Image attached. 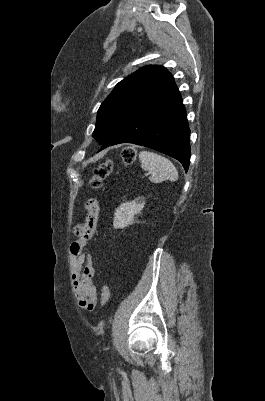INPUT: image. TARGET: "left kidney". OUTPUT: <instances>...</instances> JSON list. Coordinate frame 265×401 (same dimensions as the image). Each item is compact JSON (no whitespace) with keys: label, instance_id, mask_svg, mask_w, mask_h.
I'll use <instances>...</instances> for the list:
<instances>
[{"label":"left kidney","instance_id":"obj_1","mask_svg":"<svg viewBox=\"0 0 265 401\" xmlns=\"http://www.w3.org/2000/svg\"><path fill=\"white\" fill-rule=\"evenodd\" d=\"M145 198L143 196H137L131 203H122L115 211L113 227L114 229H125L132 225L134 221V215L141 213L144 209Z\"/></svg>","mask_w":265,"mask_h":401}]
</instances>
